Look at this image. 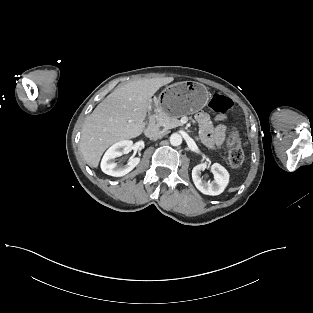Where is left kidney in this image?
Listing matches in <instances>:
<instances>
[{"instance_id": "5707ae66", "label": "left kidney", "mask_w": 313, "mask_h": 313, "mask_svg": "<svg viewBox=\"0 0 313 313\" xmlns=\"http://www.w3.org/2000/svg\"><path fill=\"white\" fill-rule=\"evenodd\" d=\"M206 164L202 163L195 166L192 170V179L196 188L206 195H219L226 188L229 182L228 171L218 163H214L211 166V171L214 175L213 181H204L201 177V171L206 169Z\"/></svg>"}]
</instances>
